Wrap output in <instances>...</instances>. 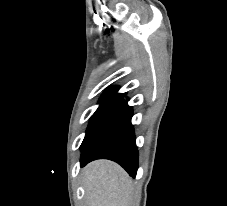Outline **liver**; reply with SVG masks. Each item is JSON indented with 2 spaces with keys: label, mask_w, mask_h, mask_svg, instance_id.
I'll use <instances>...</instances> for the list:
<instances>
[{
  "label": "liver",
  "mask_w": 227,
  "mask_h": 206,
  "mask_svg": "<svg viewBox=\"0 0 227 206\" xmlns=\"http://www.w3.org/2000/svg\"><path fill=\"white\" fill-rule=\"evenodd\" d=\"M87 206H129L132 181L118 164L97 160L84 169Z\"/></svg>",
  "instance_id": "obj_1"
}]
</instances>
